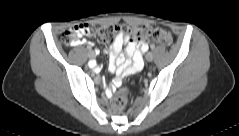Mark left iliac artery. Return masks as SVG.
I'll return each mask as SVG.
<instances>
[{
  "instance_id": "44dca946",
  "label": "left iliac artery",
  "mask_w": 239,
  "mask_h": 136,
  "mask_svg": "<svg viewBox=\"0 0 239 136\" xmlns=\"http://www.w3.org/2000/svg\"><path fill=\"white\" fill-rule=\"evenodd\" d=\"M149 48V47H148ZM155 48V45H151V49H154Z\"/></svg>"
}]
</instances>
